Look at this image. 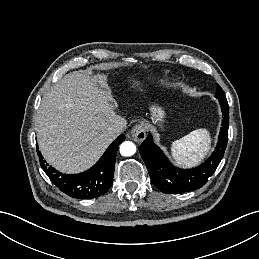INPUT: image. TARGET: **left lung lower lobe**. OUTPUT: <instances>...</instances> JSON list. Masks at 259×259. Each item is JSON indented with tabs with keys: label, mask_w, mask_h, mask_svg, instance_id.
<instances>
[{
	"label": "left lung lower lobe",
	"mask_w": 259,
	"mask_h": 259,
	"mask_svg": "<svg viewBox=\"0 0 259 259\" xmlns=\"http://www.w3.org/2000/svg\"><path fill=\"white\" fill-rule=\"evenodd\" d=\"M223 114L218 144L213 154L200 166L179 169L173 166L156 146L149 135L139 146L140 154L147 166L152 183L163 193L179 194L201 188L213 175L223 158L228 141L229 106L226 97L217 98Z\"/></svg>",
	"instance_id": "left-lung-lower-lobe-1"
}]
</instances>
